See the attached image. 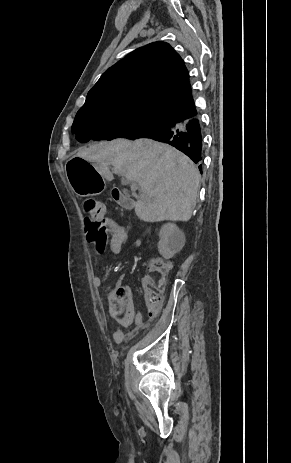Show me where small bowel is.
<instances>
[{
  "mask_svg": "<svg viewBox=\"0 0 291 463\" xmlns=\"http://www.w3.org/2000/svg\"><path fill=\"white\" fill-rule=\"evenodd\" d=\"M127 232L125 228L117 224L110 218L102 220V227L99 229H87L85 240L88 245L92 246L98 254H103L108 246L111 254L117 255L121 252L123 245L127 242ZM131 248H139L141 241L139 239L132 240L129 244ZM122 281L120 277L116 282L119 285ZM145 283V278H144ZM97 285L101 284V278L95 277ZM129 311L127 316L121 321L122 325L133 324L135 327H140L143 324V315L140 312H134L132 300H128ZM153 318L152 316H149ZM124 338V333L120 328H117L113 333V340L116 344H120Z\"/></svg>",
  "mask_w": 291,
  "mask_h": 463,
  "instance_id": "c3829d8e",
  "label": "small bowel"
}]
</instances>
